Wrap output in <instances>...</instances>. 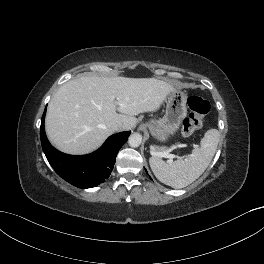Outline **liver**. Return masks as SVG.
<instances>
[{
	"label": "liver",
	"mask_w": 264,
	"mask_h": 264,
	"mask_svg": "<svg viewBox=\"0 0 264 264\" xmlns=\"http://www.w3.org/2000/svg\"><path fill=\"white\" fill-rule=\"evenodd\" d=\"M174 90L173 83L155 78L82 76L70 80L49 103L47 136L65 153L87 154L115 132L114 124L132 129L136 115L158 110Z\"/></svg>",
	"instance_id": "1"
}]
</instances>
